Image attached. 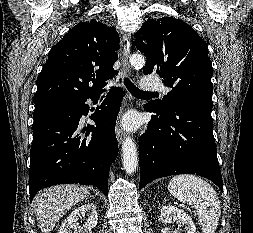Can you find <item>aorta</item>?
I'll return each mask as SVG.
<instances>
[{"instance_id":"obj_1","label":"aorta","mask_w":253,"mask_h":233,"mask_svg":"<svg viewBox=\"0 0 253 233\" xmlns=\"http://www.w3.org/2000/svg\"><path fill=\"white\" fill-rule=\"evenodd\" d=\"M130 64L134 68H142L145 59L141 54H134L130 57ZM123 167L128 174H133L138 166V153L136 144L131 137H127L122 146Z\"/></svg>"}]
</instances>
